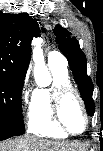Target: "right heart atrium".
Here are the masks:
<instances>
[{"mask_svg": "<svg viewBox=\"0 0 103 151\" xmlns=\"http://www.w3.org/2000/svg\"><path fill=\"white\" fill-rule=\"evenodd\" d=\"M28 96V87L26 81L23 83L21 90H20V99L22 102L26 100Z\"/></svg>", "mask_w": 103, "mask_h": 151, "instance_id": "right-heart-atrium-1", "label": "right heart atrium"}]
</instances>
